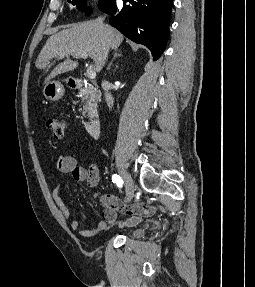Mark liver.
<instances>
[{
	"mask_svg": "<svg viewBox=\"0 0 255 287\" xmlns=\"http://www.w3.org/2000/svg\"><path fill=\"white\" fill-rule=\"evenodd\" d=\"M62 28H67V30H61L58 34L50 36L42 48L35 62L38 70H45L49 60H53V58L61 60V58L76 56L79 52H88L90 58L95 62L96 72H101L110 48L117 50L123 40V36L118 30L111 26H105V24H97L96 20L82 22V24H68ZM75 68H78V62L65 60L57 68H54L50 76L45 78V84L55 76L72 72Z\"/></svg>",
	"mask_w": 255,
	"mask_h": 287,
	"instance_id": "obj_1",
	"label": "liver"
}]
</instances>
